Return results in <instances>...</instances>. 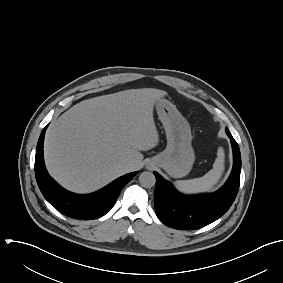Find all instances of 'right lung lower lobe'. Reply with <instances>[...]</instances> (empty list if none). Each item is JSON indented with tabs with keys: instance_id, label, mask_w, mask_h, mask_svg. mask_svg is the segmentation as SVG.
Here are the masks:
<instances>
[{
	"instance_id": "1",
	"label": "right lung lower lobe",
	"mask_w": 283,
	"mask_h": 283,
	"mask_svg": "<svg viewBox=\"0 0 283 283\" xmlns=\"http://www.w3.org/2000/svg\"><path fill=\"white\" fill-rule=\"evenodd\" d=\"M46 126L39 137L35 156L37 184L45 199L62 214L76 219L91 220L107 214L122 188L137 174H126L101 190L85 195L74 194L59 186L48 174L43 159Z\"/></svg>"
}]
</instances>
